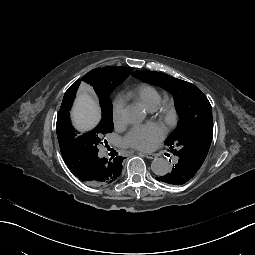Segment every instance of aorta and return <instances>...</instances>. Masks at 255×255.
Returning a JSON list of instances; mask_svg holds the SVG:
<instances>
[{"label":"aorta","instance_id":"762f6f07","mask_svg":"<svg viewBox=\"0 0 255 255\" xmlns=\"http://www.w3.org/2000/svg\"><path fill=\"white\" fill-rule=\"evenodd\" d=\"M123 116L128 123L137 124L145 118L143 109L136 105H129L123 111ZM151 170L158 176L169 172L170 165L164 158H156L151 163Z\"/></svg>","mask_w":255,"mask_h":255}]
</instances>
